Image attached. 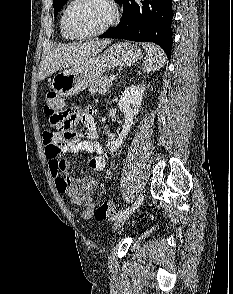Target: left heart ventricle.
Segmentation results:
<instances>
[{
	"label": "left heart ventricle",
	"mask_w": 233,
	"mask_h": 294,
	"mask_svg": "<svg viewBox=\"0 0 233 294\" xmlns=\"http://www.w3.org/2000/svg\"><path fill=\"white\" fill-rule=\"evenodd\" d=\"M110 10L101 0H80L69 11L67 25L75 34L100 29L109 19Z\"/></svg>",
	"instance_id": "left-heart-ventricle-1"
}]
</instances>
